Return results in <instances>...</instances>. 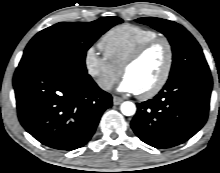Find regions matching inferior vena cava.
<instances>
[{
	"label": "inferior vena cava",
	"mask_w": 220,
	"mask_h": 173,
	"mask_svg": "<svg viewBox=\"0 0 220 173\" xmlns=\"http://www.w3.org/2000/svg\"><path fill=\"white\" fill-rule=\"evenodd\" d=\"M100 88H102L105 91H109L112 89L113 83L109 80H104L99 84Z\"/></svg>",
	"instance_id": "inferior-vena-cava-1"
}]
</instances>
